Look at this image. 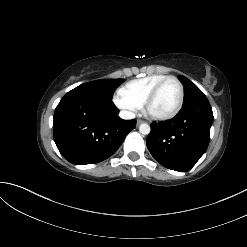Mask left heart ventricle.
<instances>
[{
	"mask_svg": "<svg viewBox=\"0 0 247 247\" xmlns=\"http://www.w3.org/2000/svg\"><path fill=\"white\" fill-rule=\"evenodd\" d=\"M179 102V86L173 81H167L159 90L149 105V112L154 115H167L171 113Z\"/></svg>",
	"mask_w": 247,
	"mask_h": 247,
	"instance_id": "b2bd125f",
	"label": "left heart ventricle"
}]
</instances>
